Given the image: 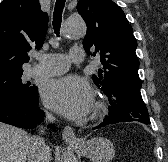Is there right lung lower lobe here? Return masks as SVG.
Listing matches in <instances>:
<instances>
[{
	"label": "right lung lower lobe",
	"instance_id": "1",
	"mask_svg": "<svg viewBox=\"0 0 168 162\" xmlns=\"http://www.w3.org/2000/svg\"><path fill=\"white\" fill-rule=\"evenodd\" d=\"M42 118L38 107V91L28 99L0 96V122L21 128H34Z\"/></svg>",
	"mask_w": 168,
	"mask_h": 162
}]
</instances>
